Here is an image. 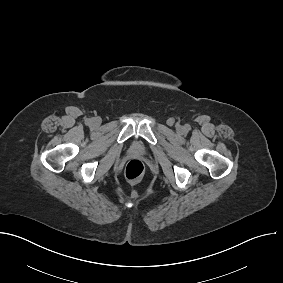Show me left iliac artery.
<instances>
[{
    "mask_svg": "<svg viewBox=\"0 0 283 283\" xmlns=\"http://www.w3.org/2000/svg\"><path fill=\"white\" fill-rule=\"evenodd\" d=\"M189 128H190V127L187 125V126H186V129H189Z\"/></svg>",
    "mask_w": 283,
    "mask_h": 283,
    "instance_id": "44dca946",
    "label": "left iliac artery"
}]
</instances>
